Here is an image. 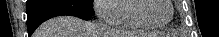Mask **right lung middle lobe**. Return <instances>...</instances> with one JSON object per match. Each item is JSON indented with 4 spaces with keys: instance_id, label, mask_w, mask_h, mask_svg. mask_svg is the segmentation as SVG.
I'll return each mask as SVG.
<instances>
[{
    "instance_id": "1",
    "label": "right lung middle lobe",
    "mask_w": 219,
    "mask_h": 37,
    "mask_svg": "<svg viewBox=\"0 0 219 37\" xmlns=\"http://www.w3.org/2000/svg\"><path fill=\"white\" fill-rule=\"evenodd\" d=\"M85 1L92 2V0H85Z\"/></svg>"
}]
</instances>
